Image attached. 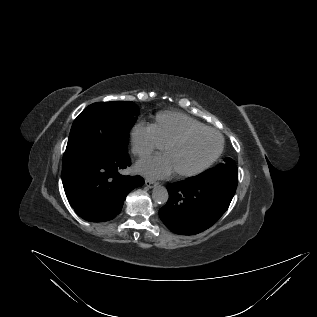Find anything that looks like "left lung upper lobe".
<instances>
[{"label": "left lung upper lobe", "instance_id": "left-lung-upper-lobe-1", "mask_svg": "<svg viewBox=\"0 0 317 317\" xmlns=\"http://www.w3.org/2000/svg\"><path fill=\"white\" fill-rule=\"evenodd\" d=\"M224 163L217 165L216 167L204 172L209 176H221L238 180V168L234 160L231 158H225Z\"/></svg>", "mask_w": 317, "mask_h": 317}]
</instances>
